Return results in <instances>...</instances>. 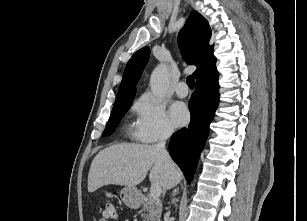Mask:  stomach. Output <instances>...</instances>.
<instances>
[{"label": "stomach", "instance_id": "obj_1", "mask_svg": "<svg viewBox=\"0 0 307 221\" xmlns=\"http://www.w3.org/2000/svg\"><path fill=\"white\" fill-rule=\"evenodd\" d=\"M120 198L127 206L132 208L140 204V193L135 187H124L120 192Z\"/></svg>", "mask_w": 307, "mask_h": 221}]
</instances>
